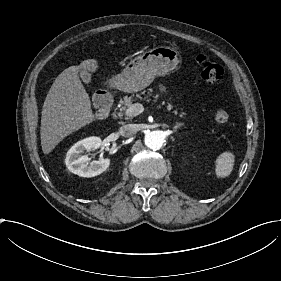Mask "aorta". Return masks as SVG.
I'll return each mask as SVG.
<instances>
[{
    "instance_id": "1",
    "label": "aorta",
    "mask_w": 281,
    "mask_h": 281,
    "mask_svg": "<svg viewBox=\"0 0 281 281\" xmlns=\"http://www.w3.org/2000/svg\"><path fill=\"white\" fill-rule=\"evenodd\" d=\"M165 142V134L162 131H151L145 135V145L152 150H159Z\"/></svg>"
}]
</instances>
